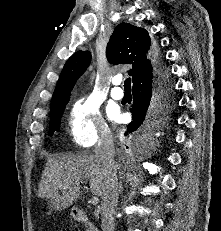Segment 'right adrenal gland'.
Wrapping results in <instances>:
<instances>
[{"label": "right adrenal gland", "mask_w": 221, "mask_h": 231, "mask_svg": "<svg viewBox=\"0 0 221 231\" xmlns=\"http://www.w3.org/2000/svg\"><path fill=\"white\" fill-rule=\"evenodd\" d=\"M120 192H122V184H120Z\"/></svg>", "instance_id": "2a0ac1e0"}]
</instances>
